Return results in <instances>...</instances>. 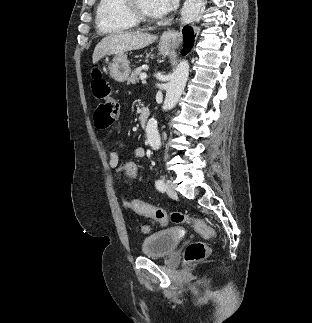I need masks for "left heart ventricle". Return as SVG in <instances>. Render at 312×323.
I'll return each instance as SVG.
<instances>
[{"instance_id": "1", "label": "left heart ventricle", "mask_w": 312, "mask_h": 323, "mask_svg": "<svg viewBox=\"0 0 312 323\" xmlns=\"http://www.w3.org/2000/svg\"><path fill=\"white\" fill-rule=\"evenodd\" d=\"M140 12H141V14H148L149 9H148V7H141Z\"/></svg>"}]
</instances>
